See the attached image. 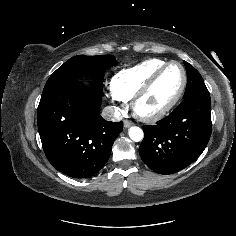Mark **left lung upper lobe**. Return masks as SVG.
Listing matches in <instances>:
<instances>
[{
  "mask_svg": "<svg viewBox=\"0 0 236 236\" xmlns=\"http://www.w3.org/2000/svg\"><path fill=\"white\" fill-rule=\"evenodd\" d=\"M184 64L187 70V78H188L184 98H188L189 96L196 93L208 92V89L199 72L188 62L184 61Z\"/></svg>",
  "mask_w": 236,
  "mask_h": 236,
  "instance_id": "left-lung-upper-lobe-1",
  "label": "left lung upper lobe"
}]
</instances>
